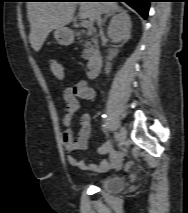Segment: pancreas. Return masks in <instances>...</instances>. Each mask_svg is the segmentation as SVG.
<instances>
[{"label":"pancreas","mask_w":188,"mask_h":213,"mask_svg":"<svg viewBox=\"0 0 188 213\" xmlns=\"http://www.w3.org/2000/svg\"><path fill=\"white\" fill-rule=\"evenodd\" d=\"M84 35L86 38H88L89 36H92L93 33L92 31H87V32H84ZM80 34L78 35V38ZM95 47H96V40L95 39H91V41H88V40H85L84 41V50H83V53H82V57L84 59H89L90 56L92 55V53L95 51Z\"/></svg>","instance_id":"cf45deb5"}]
</instances>
